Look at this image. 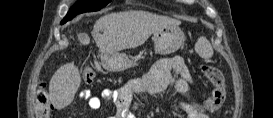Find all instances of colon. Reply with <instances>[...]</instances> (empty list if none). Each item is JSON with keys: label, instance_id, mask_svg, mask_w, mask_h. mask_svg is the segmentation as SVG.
<instances>
[{"label": "colon", "instance_id": "1", "mask_svg": "<svg viewBox=\"0 0 273 118\" xmlns=\"http://www.w3.org/2000/svg\"><path fill=\"white\" fill-rule=\"evenodd\" d=\"M200 69L214 86L211 96L206 101V109L211 112L217 111L222 107L226 98L224 76L219 69L210 65H202ZM94 78V73L91 70L87 68L83 70V79L87 84H91ZM45 87V83L39 84L36 105V114L39 118H48L52 109V103Z\"/></svg>", "mask_w": 273, "mask_h": 118}]
</instances>
